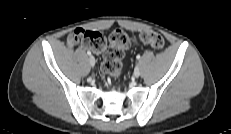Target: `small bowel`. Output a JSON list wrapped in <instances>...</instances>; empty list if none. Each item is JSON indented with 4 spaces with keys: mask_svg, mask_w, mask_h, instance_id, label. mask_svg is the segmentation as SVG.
<instances>
[{
    "mask_svg": "<svg viewBox=\"0 0 231 134\" xmlns=\"http://www.w3.org/2000/svg\"><path fill=\"white\" fill-rule=\"evenodd\" d=\"M79 42L78 41H75L74 40V34L71 33L68 38H67V45L69 47H73L74 45L78 44Z\"/></svg>",
    "mask_w": 231,
    "mask_h": 134,
    "instance_id": "c3829d8e",
    "label": "small bowel"
}]
</instances>
